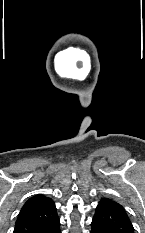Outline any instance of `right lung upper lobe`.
<instances>
[{
  "label": "right lung upper lobe",
  "mask_w": 145,
  "mask_h": 233,
  "mask_svg": "<svg viewBox=\"0 0 145 233\" xmlns=\"http://www.w3.org/2000/svg\"><path fill=\"white\" fill-rule=\"evenodd\" d=\"M58 219L53 200L43 195L31 197L23 205L14 233H40Z\"/></svg>",
  "instance_id": "1"
}]
</instances>
